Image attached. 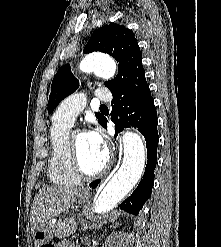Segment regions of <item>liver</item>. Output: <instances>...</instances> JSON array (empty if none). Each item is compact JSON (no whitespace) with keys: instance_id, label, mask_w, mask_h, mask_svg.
<instances>
[{"instance_id":"1","label":"liver","mask_w":221,"mask_h":247,"mask_svg":"<svg viewBox=\"0 0 221 247\" xmlns=\"http://www.w3.org/2000/svg\"><path fill=\"white\" fill-rule=\"evenodd\" d=\"M80 191L77 188L43 187L35 197L31 208L32 230L67 210L76 202Z\"/></svg>"}]
</instances>
